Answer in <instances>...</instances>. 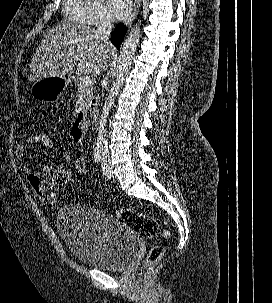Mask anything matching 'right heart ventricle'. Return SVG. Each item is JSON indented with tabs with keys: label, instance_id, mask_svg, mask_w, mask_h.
I'll use <instances>...</instances> for the list:
<instances>
[{
	"label": "right heart ventricle",
	"instance_id": "e07e8e85",
	"mask_svg": "<svg viewBox=\"0 0 272 303\" xmlns=\"http://www.w3.org/2000/svg\"><path fill=\"white\" fill-rule=\"evenodd\" d=\"M64 15L68 22L86 26L90 24L88 0H65Z\"/></svg>",
	"mask_w": 272,
	"mask_h": 303
}]
</instances>
